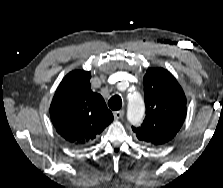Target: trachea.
I'll list each match as a JSON object with an SVG mask.
<instances>
[{"label":"trachea","instance_id":"3493384b","mask_svg":"<svg viewBox=\"0 0 223 188\" xmlns=\"http://www.w3.org/2000/svg\"><path fill=\"white\" fill-rule=\"evenodd\" d=\"M108 106L112 110H119L122 107V99L119 95L112 96L108 101Z\"/></svg>","mask_w":223,"mask_h":188}]
</instances>
